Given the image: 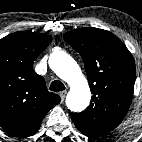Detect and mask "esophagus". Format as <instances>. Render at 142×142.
<instances>
[{"label": "esophagus", "instance_id": "esophagus-1", "mask_svg": "<svg viewBox=\"0 0 142 142\" xmlns=\"http://www.w3.org/2000/svg\"><path fill=\"white\" fill-rule=\"evenodd\" d=\"M66 94H67L66 91L60 92L59 96H60L62 102L64 101Z\"/></svg>", "mask_w": 142, "mask_h": 142}]
</instances>
